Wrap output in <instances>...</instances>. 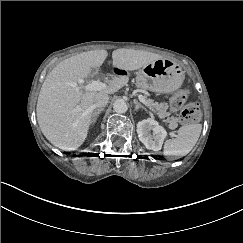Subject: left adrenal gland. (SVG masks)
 Listing matches in <instances>:
<instances>
[{"instance_id":"left-adrenal-gland-1","label":"left adrenal gland","mask_w":243,"mask_h":243,"mask_svg":"<svg viewBox=\"0 0 243 243\" xmlns=\"http://www.w3.org/2000/svg\"><path fill=\"white\" fill-rule=\"evenodd\" d=\"M134 104H135V111L136 112H138L139 108L146 110V108L143 105H141L137 100H134Z\"/></svg>"}]
</instances>
